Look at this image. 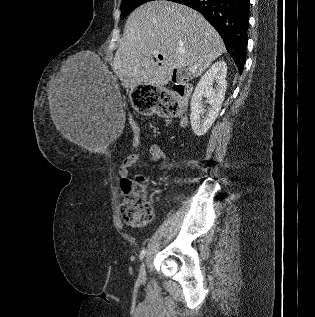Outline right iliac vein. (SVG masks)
I'll use <instances>...</instances> for the list:
<instances>
[{
  "label": "right iliac vein",
  "instance_id": "1",
  "mask_svg": "<svg viewBox=\"0 0 315 317\" xmlns=\"http://www.w3.org/2000/svg\"><path fill=\"white\" fill-rule=\"evenodd\" d=\"M138 280L140 282H144L146 280V268H145L144 262H142V264L140 266Z\"/></svg>",
  "mask_w": 315,
  "mask_h": 317
}]
</instances>
